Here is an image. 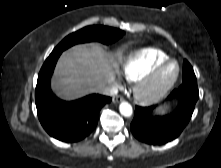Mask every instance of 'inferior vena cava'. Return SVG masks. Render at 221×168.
Instances as JSON below:
<instances>
[{
    "instance_id": "602c4592",
    "label": "inferior vena cava",
    "mask_w": 221,
    "mask_h": 168,
    "mask_svg": "<svg viewBox=\"0 0 221 168\" xmlns=\"http://www.w3.org/2000/svg\"><path fill=\"white\" fill-rule=\"evenodd\" d=\"M101 94L106 96H114L118 93V88L115 84H110L101 89Z\"/></svg>"
}]
</instances>
